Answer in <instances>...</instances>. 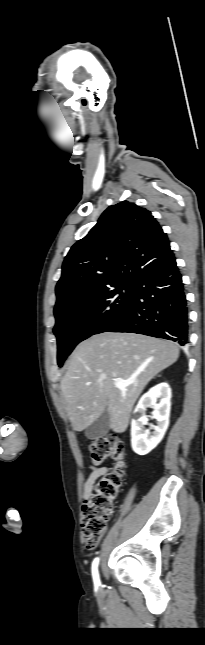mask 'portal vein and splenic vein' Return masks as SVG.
<instances>
[{"mask_svg":"<svg viewBox=\"0 0 205 645\" xmlns=\"http://www.w3.org/2000/svg\"><path fill=\"white\" fill-rule=\"evenodd\" d=\"M114 381H115V386L118 389H124L127 386H129V385L134 383V380H123L121 378H116V379H114Z\"/></svg>","mask_w":205,"mask_h":645,"instance_id":"1","label":"portal vein and splenic vein"}]
</instances>
